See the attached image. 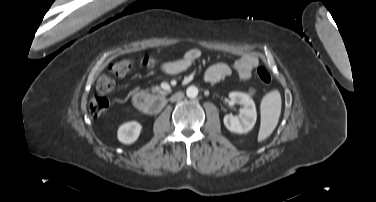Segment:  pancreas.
<instances>
[{"label":"pancreas","instance_id":"1","mask_svg":"<svg viewBox=\"0 0 376 202\" xmlns=\"http://www.w3.org/2000/svg\"><path fill=\"white\" fill-rule=\"evenodd\" d=\"M151 92L153 93V94H160V95H164L166 92L165 91H163L160 87H158V86H153V87H151Z\"/></svg>","mask_w":376,"mask_h":202}]
</instances>
